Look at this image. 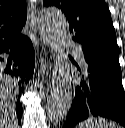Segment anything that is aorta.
<instances>
[{"label": "aorta", "mask_w": 125, "mask_h": 128, "mask_svg": "<svg viewBox=\"0 0 125 128\" xmlns=\"http://www.w3.org/2000/svg\"><path fill=\"white\" fill-rule=\"evenodd\" d=\"M38 24L43 38L56 53L55 69L47 98V113L52 123H59L66 118L74 96L64 43L68 25L63 13L53 7L40 12Z\"/></svg>", "instance_id": "obj_1"}]
</instances>
